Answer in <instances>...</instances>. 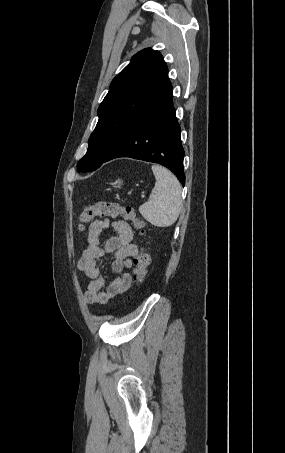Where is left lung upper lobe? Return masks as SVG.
Here are the masks:
<instances>
[{"instance_id":"left-lung-upper-lobe-1","label":"left lung upper lobe","mask_w":285,"mask_h":453,"mask_svg":"<svg viewBox=\"0 0 285 453\" xmlns=\"http://www.w3.org/2000/svg\"><path fill=\"white\" fill-rule=\"evenodd\" d=\"M168 78L162 55L151 48L135 54L113 79L98 108L99 120L88 150L77 163L78 172L99 168L134 119L153 100Z\"/></svg>"}]
</instances>
